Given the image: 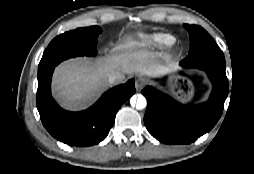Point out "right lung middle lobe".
I'll use <instances>...</instances> for the list:
<instances>
[{
  "mask_svg": "<svg viewBox=\"0 0 254 174\" xmlns=\"http://www.w3.org/2000/svg\"><path fill=\"white\" fill-rule=\"evenodd\" d=\"M101 32L100 27L92 26L78 28L54 38L43 53L38 66V76L65 59L83 55L95 56L97 38Z\"/></svg>",
  "mask_w": 254,
  "mask_h": 174,
  "instance_id": "obj_1",
  "label": "right lung middle lobe"
}]
</instances>
